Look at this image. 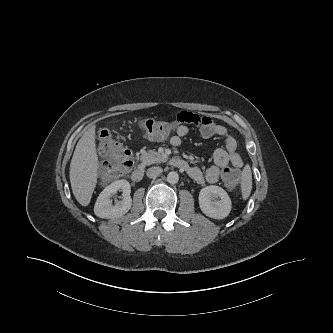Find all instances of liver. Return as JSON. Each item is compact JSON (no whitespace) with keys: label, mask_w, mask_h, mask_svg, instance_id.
I'll list each match as a JSON object with an SVG mask.
<instances>
[{"label":"liver","mask_w":333,"mask_h":333,"mask_svg":"<svg viewBox=\"0 0 333 333\" xmlns=\"http://www.w3.org/2000/svg\"><path fill=\"white\" fill-rule=\"evenodd\" d=\"M95 128L92 126L78 141L70 164V183L76 200L88 206L96 187L99 159L96 151Z\"/></svg>","instance_id":"6515ba94"}]
</instances>
